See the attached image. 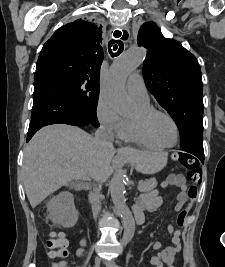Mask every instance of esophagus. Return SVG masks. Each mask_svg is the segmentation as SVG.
I'll use <instances>...</instances> for the list:
<instances>
[{"instance_id":"esophagus-1","label":"esophagus","mask_w":225,"mask_h":267,"mask_svg":"<svg viewBox=\"0 0 225 267\" xmlns=\"http://www.w3.org/2000/svg\"><path fill=\"white\" fill-rule=\"evenodd\" d=\"M116 30L121 31V33H122L121 36H123V31L126 32V33L128 34L127 39L129 38L130 34H129V31H128L127 27H125V26H123L122 28H116V29H114L113 32H112V37H113V38H116V37H115V31H116ZM127 39H125V41H126Z\"/></svg>"}]
</instances>
